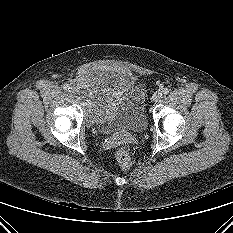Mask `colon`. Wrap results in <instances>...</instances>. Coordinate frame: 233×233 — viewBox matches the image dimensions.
<instances>
[{
  "label": "colon",
  "mask_w": 233,
  "mask_h": 233,
  "mask_svg": "<svg viewBox=\"0 0 233 233\" xmlns=\"http://www.w3.org/2000/svg\"><path fill=\"white\" fill-rule=\"evenodd\" d=\"M115 158L118 165L122 169H128L131 165V158L128 151L125 148H119L115 153Z\"/></svg>",
  "instance_id": "colon-1"
}]
</instances>
